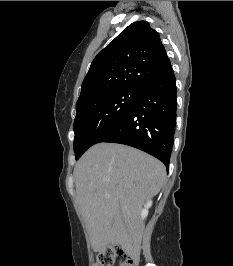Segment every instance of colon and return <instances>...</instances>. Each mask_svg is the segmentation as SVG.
I'll return each instance as SVG.
<instances>
[{
  "label": "colon",
  "mask_w": 233,
  "mask_h": 266,
  "mask_svg": "<svg viewBox=\"0 0 233 266\" xmlns=\"http://www.w3.org/2000/svg\"><path fill=\"white\" fill-rule=\"evenodd\" d=\"M121 255H123L122 250L117 246H112L98 254L97 266H115L116 258ZM119 266H137V257L125 255Z\"/></svg>",
  "instance_id": "obj_1"
}]
</instances>
